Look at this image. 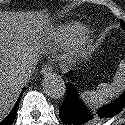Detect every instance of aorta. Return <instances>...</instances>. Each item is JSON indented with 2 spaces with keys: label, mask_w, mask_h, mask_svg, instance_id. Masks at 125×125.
Wrapping results in <instances>:
<instances>
[{
  "label": "aorta",
  "mask_w": 125,
  "mask_h": 125,
  "mask_svg": "<svg viewBox=\"0 0 125 125\" xmlns=\"http://www.w3.org/2000/svg\"><path fill=\"white\" fill-rule=\"evenodd\" d=\"M42 84L44 92L52 99L62 98L66 93L65 82L59 75L46 76Z\"/></svg>",
  "instance_id": "1"
}]
</instances>
